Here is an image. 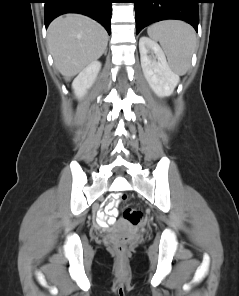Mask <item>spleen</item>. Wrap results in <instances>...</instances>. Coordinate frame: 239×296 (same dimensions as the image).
Returning <instances> with one entry per match:
<instances>
[{
	"mask_svg": "<svg viewBox=\"0 0 239 296\" xmlns=\"http://www.w3.org/2000/svg\"><path fill=\"white\" fill-rule=\"evenodd\" d=\"M147 33L159 41L170 68L178 75L186 74L197 43L194 29L182 21H161L150 25Z\"/></svg>",
	"mask_w": 239,
	"mask_h": 296,
	"instance_id": "obj_1",
	"label": "spleen"
}]
</instances>
